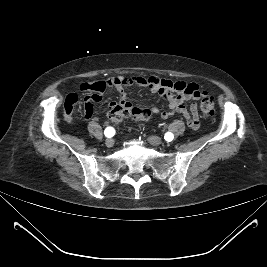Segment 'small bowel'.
<instances>
[{
  "label": "small bowel",
  "mask_w": 267,
  "mask_h": 267,
  "mask_svg": "<svg viewBox=\"0 0 267 267\" xmlns=\"http://www.w3.org/2000/svg\"><path fill=\"white\" fill-rule=\"evenodd\" d=\"M135 85L159 93L167 102V110L153 107L151 112L154 115L166 119L175 113L182 114L186 118L187 124L191 129L197 130L199 128L198 107L195 101L206 96V92L203 91L197 83L173 81L157 76H117L104 81L83 83L81 85V90L87 94L85 97V118L91 120L96 117V106L101 101L103 93L109 88L119 93V101L110 102V110L115 108H131L132 103L124 92V88ZM189 100L193 102L187 107L186 102ZM78 101V95L75 93H71L66 97L64 103L66 120H71L73 109Z\"/></svg>",
  "instance_id": "small-bowel-1"
}]
</instances>
